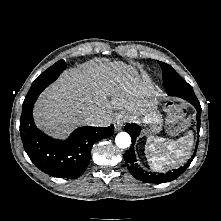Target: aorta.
I'll list each match as a JSON object with an SVG mask.
<instances>
[{
  "label": "aorta",
  "mask_w": 221,
  "mask_h": 221,
  "mask_svg": "<svg viewBox=\"0 0 221 221\" xmlns=\"http://www.w3.org/2000/svg\"><path fill=\"white\" fill-rule=\"evenodd\" d=\"M115 143L119 148L125 149L128 148L131 144V137L126 132H120L115 138Z\"/></svg>",
  "instance_id": "aorta-1"
}]
</instances>
